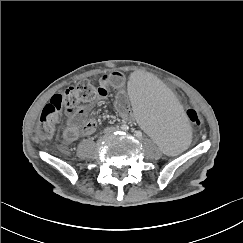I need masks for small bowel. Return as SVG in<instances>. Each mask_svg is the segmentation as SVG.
<instances>
[{
    "label": "small bowel",
    "mask_w": 243,
    "mask_h": 243,
    "mask_svg": "<svg viewBox=\"0 0 243 243\" xmlns=\"http://www.w3.org/2000/svg\"><path fill=\"white\" fill-rule=\"evenodd\" d=\"M109 85L117 90L115 107L120 117L126 120L133 118L128 93L124 88V76L120 72L106 74L100 79L99 87L96 91L98 99L95 102L67 112V121L62 135L65 144L74 142L78 138L94 132L96 121L94 118H88V111L96 102L108 96L109 89L107 86Z\"/></svg>",
    "instance_id": "1"
}]
</instances>
